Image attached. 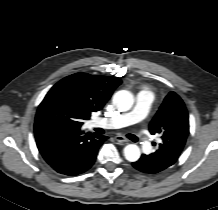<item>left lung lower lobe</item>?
Here are the masks:
<instances>
[{
	"label": "left lung lower lobe",
	"instance_id": "obj_1",
	"mask_svg": "<svg viewBox=\"0 0 218 210\" xmlns=\"http://www.w3.org/2000/svg\"><path fill=\"white\" fill-rule=\"evenodd\" d=\"M175 162L176 159L171 156H164L159 152H154L149 155L143 154L141 158L133 162L132 165L141 172L154 174L165 170Z\"/></svg>",
	"mask_w": 218,
	"mask_h": 210
}]
</instances>
